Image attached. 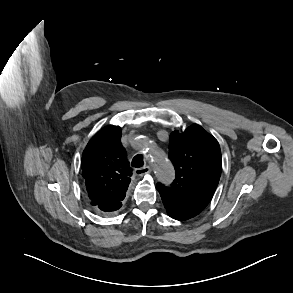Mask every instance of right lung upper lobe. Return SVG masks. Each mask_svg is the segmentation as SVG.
<instances>
[{
  "mask_svg": "<svg viewBox=\"0 0 293 293\" xmlns=\"http://www.w3.org/2000/svg\"><path fill=\"white\" fill-rule=\"evenodd\" d=\"M121 136L119 126H106L89 141L82 155L89 200L103 214L122 206L132 176Z\"/></svg>",
  "mask_w": 293,
  "mask_h": 293,
  "instance_id": "obj_1",
  "label": "right lung upper lobe"
}]
</instances>
